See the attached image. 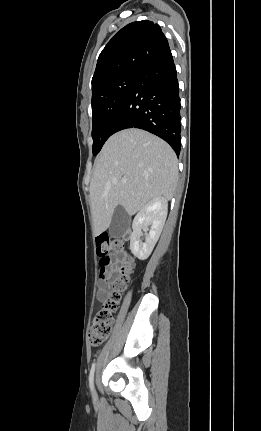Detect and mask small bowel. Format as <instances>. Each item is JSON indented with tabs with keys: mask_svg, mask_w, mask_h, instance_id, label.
I'll list each match as a JSON object with an SVG mask.
<instances>
[{
	"mask_svg": "<svg viewBox=\"0 0 261 431\" xmlns=\"http://www.w3.org/2000/svg\"><path fill=\"white\" fill-rule=\"evenodd\" d=\"M116 267L115 265L100 270V280L98 283L97 298L99 301H106L108 295L111 292L112 284L115 277Z\"/></svg>",
	"mask_w": 261,
	"mask_h": 431,
	"instance_id": "c3829d8e",
	"label": "small bowel"
}]
</instances>
